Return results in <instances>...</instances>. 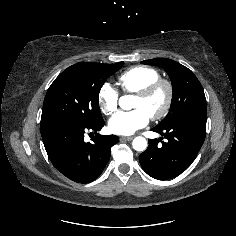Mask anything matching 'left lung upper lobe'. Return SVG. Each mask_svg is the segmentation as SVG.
Here are the masks:
<instances>
[{"label":"left lung upper lobe","mask_w":236,"mask_h":236,"mask_svg":"<svg viewBox=\"0 0 236 236\" xmlns=\"http://www.w3.org/2000/svg\"><path fill=\"white\" fill-rule=\"evenodd\" d=\"M141 63L162 67L172 82L171 107L167 116L157 127L169 125L191 113L206 112L203 88L191 70L174 60L165 58L145 60Z\"/></svg>","instance_id":"obj_1"}]
</instances>
